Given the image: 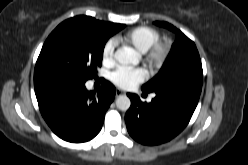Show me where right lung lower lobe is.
Returning <instances> with one entry per match:
<instances>
[{"instance_id": "1", "label": "right lung lower lobe", "mask_w": 248, "mask_h": 165, "mask_svg": "<svg viewBox=\"0 0 248 165\" xmlns=\"http://www.w3.org/2000/svg\"><path fill=\"white\" fill-rule=\"evenodd\" d=\"M35 93L52 131L65 141L81 143L100 132L116 89L105 80L98 92L88 91L84 84L48 80L35 87Z\"/></svg>"}]
</instances>
